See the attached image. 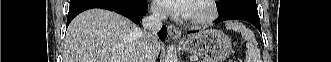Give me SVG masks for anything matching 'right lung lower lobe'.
<instances>
[{
	"mask_svg": "<svg viewBox=\"0 0 331 62\" xmlns=\"http://www.w3.org/2000/svg\"><path fill=\"white\" fill-rule=\"evenodd\" d=\"M92 8L117 12L138 24L145 15L148 6L145 0H137L132 3L122 2L120 0H73L70 1L67 26L79 13ZM166 36L167 29L163 26L159 32V37L161 40H165Z\"/></svg>",
	"mask_w": 331,
	"mask_h": 62,
	"instance_id": "right-lung-lower-lobe-1",
	"label": "right lung lower lobe"
}]
</instances>
